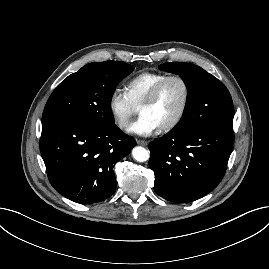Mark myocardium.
<instances>
[{
	"label": "myocardium",
	"mask_w": 269,
	"mask_h": 269,
	"mask_svg": "<svg viewBox=\"0 0 269 269\" xmlns=\"http://www.w3.org/2000/svg\"><path fill=\"white\" fill-rule=\"evenodd\" d=\"M173 80H177L183 85L184 102H183V105H182L179 113L177 114V116L170 123L159 128V130L161 132H169V131L173 130L181 123V121L185 117L187 110L189 108L190 100H191V87H190L189 82L181 75L167 76L166 78H164L163 80L158 82L151 89V91L148 93V95L145 97V99L141 102V104L138 107V110L140 111L141 108L152 105L155 102V100L157 99V97L159 96V94L162 91V89L164 88V86L168 82L173 81Z\"/></svg>",
	"instance_id": "f54148a6"
}]
</instances>
